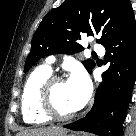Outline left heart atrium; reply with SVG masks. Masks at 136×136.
Segmentation results:
<instances>
[{
    "label": "left heart atrium",
    "mask_w": 136,
    "mask_h": 136,
    "mask_svg": "<svg viewBox=\"0 0 136 136\" xmlns=\"http://www.w3.org/2000/svg\"><path fill=\"white\" fill-rule=\"evenodd\" d=\"M74 107L80 109L87 102L91 93L90 81L82 70H75L67 81Z\"/></svg>",
    "instance_id": "obj_1"
}]
</instances>
